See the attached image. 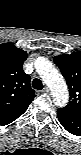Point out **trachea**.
Returning <instances> with one entry per match:
<instances>
[{
    "mask_svg": "<svg viewBox=\"0 0 81 155\" xmlns=\"http://www.w3.org/2000/svg\"><path fill=\"white\" fill-rule=\"evenodd\" d=\"M32 87L34 89H37V90H41L43 88V84L41 82V80L35 78L33 81H32Z\"/></svg>",
    "mask_w": 81,
    "mask_h": 155,
    "instance_id": "trachea-1",
    "label": "trachea"
}]
</instances>
